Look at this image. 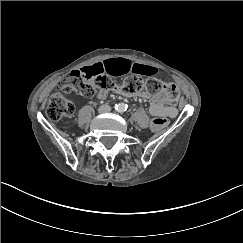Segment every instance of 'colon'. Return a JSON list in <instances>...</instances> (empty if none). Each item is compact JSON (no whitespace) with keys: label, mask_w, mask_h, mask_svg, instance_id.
Here are the masks:
<instances>
[{"label":"colon","mask_w":243,"mask_h":243,"mask_svg":"<svg viewBox=\"0 0 243 243\" xmlns=\"http://www.w3.org/2000/svg\"><path fill=\"white\" fill-rule=\"evenodd\" d=\"M111 91H120L126 95L147 94L149 96L163 95L168 101L176 102L179 99V90L175 84L164 83L156 78H140L130 76L121 83H116L104 73L86 74L82 71H72L60 82V91L51 95L46 109L50 120H59L71 116L75 111V104L66 95L76 92L85 97H92L96 93L108 94ZM166 118L152 119L151 128L160 130L168 125Z\"/></svg>","instance_id":"5ec220e1"}]
</instances>
